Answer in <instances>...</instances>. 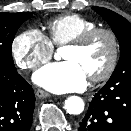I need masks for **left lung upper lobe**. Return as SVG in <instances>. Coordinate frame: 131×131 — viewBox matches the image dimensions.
Here are the masks:
<instances>
[{
	"label": "left lung upper lobe",
	"instance_id": "1",
	"mask_svg": "<svg viewBox=\"0 0 131 131\" xmlns=\"http://www.w3.org/2000/svg\"><path fill=\"white\" fill-rule=\"evenodd\" d=\"M112 28L120 43V59L107 83H131V24L117 13L102 7H93Z\"/></svg>",
	"mask_w": 131,
	"mask_h": 131
}]
</instances>
